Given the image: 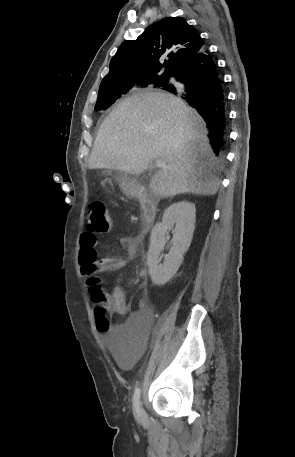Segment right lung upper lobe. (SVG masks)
Returning a JSON list of instances; mask_svg holds the SVG:
<instances>
[{
  "label": "right lung upper lobe",
  "instance_id": "obj_1",
  "mask_svg": "<svg viewBox=\"0 0 295 457\" xmlns=\"http://www.w3.org/2000/svg\"><path fill=\"white\" fill-rule=\"evenodd\" d=\"M203 46L197 30L184 18H164L153 23L136 40L120 45L99 92L138 86L150 78L173 76L178 66ZM162 69L164 74L159 76Z\"/></svg>",
  "mask_w": 295,
  "mask_h": 457
}]
</instances>
